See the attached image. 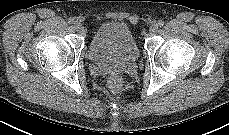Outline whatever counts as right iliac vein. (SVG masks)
I'll list each match as a JSON object with an SVG mask.
<instances>
[{"instance_id":"obj_1","label":"right iliac vein","mask_w":229,"mask_h":135,"mask_svg":"<svg viewBox=\"0 0 229 135\" xmlns=\"http://www.w3.org/2000/svg\"><path fill=\"white\" fill-rule=\"evenodd\" d=\"M74 28H75V30L79 31L82 28V24L80 22H75Z\"/></svg>"}]
</instances>
